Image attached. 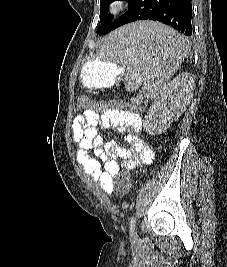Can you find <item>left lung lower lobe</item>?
<instances>
[{"instance_id": "left-lung-lower-lobe-1", "label": "left lung lower lobe", "mask_w": 227, "mask_h": 267, "mask_svg": "<svg viewBox=\"0 0 227 267\" xmlns=\"http://www.w3.org/2000/svg\"><path fill=\"white\" fill-rule=\"evenodd\" d=\"M138 20L162 22L185 36L192 35V2L191 0H129L128 11L98 30L99 35L106 34L125 24ZM145 43L149 47L173 46L169 40H158L146 36Z\"/></svg>"}]
</instances>
